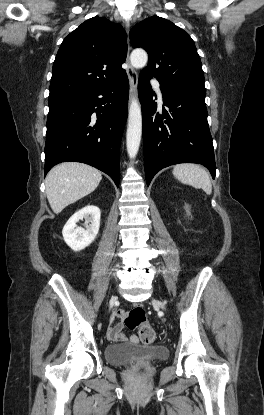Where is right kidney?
I'll list each match as a JSON object with an SVG mask.
<instances>
[{
    "instance_id": "ca27d5eb",
    "label": "right kidney",
    "mask_w": 264,
    "mask_h": 415,
    "mask_svg": "<svg viewBox=\"0 0 264 415\" xmlns=\"http://www.w3.org/2000/svg\"><path fill=\"white\" fill-rule=\"evenodd\" d=\"M100 216V209L93 205L85 206L74 213L62 230L66 244L74 251H80L89 246L99 232ZM83 218L86 220L85 228L77 227L76 223Z\"/></svg>"
}]
</instances>
